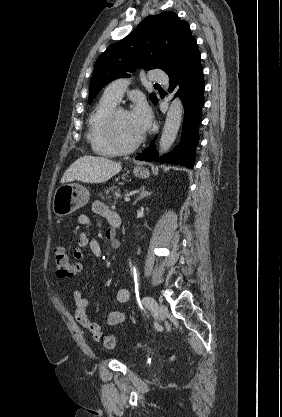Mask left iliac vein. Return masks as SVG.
<instances>
[{
  "mask_svg": "<svg viewBox=\"0 0 282 417\" xmlns=\"http://www.w3.org/2000/svg\"><path fill=\"white\" fill-rule=\"evenodd\" d=\"M168 313L167 307L163 304H159L158 305V315H159V319L163 320L165 319L166 315Z\"/></svg>",
  "mask_w": 282,
  "mask_h": 417,
  "instance_id": "obj_1",
  "label": "left iliac vein"
}]
</instances>
